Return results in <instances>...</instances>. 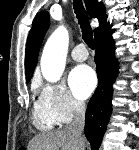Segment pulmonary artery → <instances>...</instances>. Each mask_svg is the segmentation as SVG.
I'll return each mask as SVG.
<instances>
[{"label": "pulmonary artery", "mask_w": 139, "mask_h": 150, "mask_svg": "<svg viewBox=\"0 0 139 150\" xmlns=\"http://www.w3.org/2000/svg\"><path fill=\"white\" fill-rule=\"evenodd\" d=\"M88 51L83 44L77 45L71 52L72 58L77 62H82L88 58Z\"/></svg>", "instance_id": "e3ab8cb5"}]
</instances>
